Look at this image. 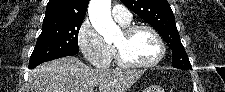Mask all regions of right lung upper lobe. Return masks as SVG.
Instances as JSON below:
<instances>
[{"instance_id":"obj_1","label":"right lung upper lobe","mask_w":225,"mask_h":92,"mask_svg":"<svg viewBox=\"0 0 225 92\" xmlns=\"http://www.w3.org/2000/svg\"><path fill=\"white\" fill-rule=\"evenodd\" d=\"M89 0H50L43 24L83 22Z\"/></svg>"}]
</instances>
